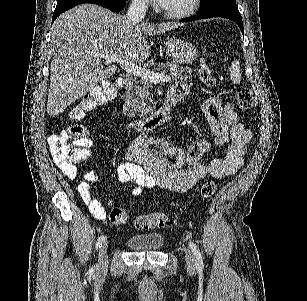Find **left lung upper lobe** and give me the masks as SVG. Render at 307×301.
<instances>
[{
	"mask_svg": "<svg viewBox=\"0 0 307 301\" xmlns=\"http://www.w3.org/2000/svg\"><path fill=\"white\" fill-rule=\"evenodd\" d=\"M231 14L241 16L236 5V0H201L198 14Z\"/></svg>",
	"mask_w": 307,
	"mask_h": 301,
	"instance_id": "obj_1",
	"label": "left lung upper lobe"
}]
</instances>
